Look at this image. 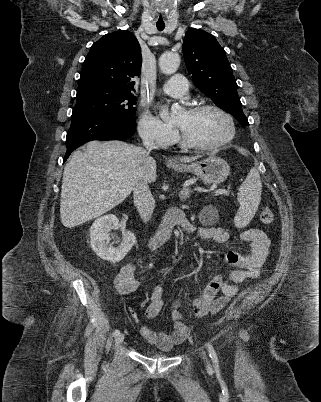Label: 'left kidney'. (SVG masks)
Instances as JSON below:
<instances>
[{
	"label": "left kidney",
	"instance_id": "left-kidney-1",
	"mask_svg": "<svg viewBox=\"0 0 321 402\" xmlns=\"http://www.w3.org/2000/svg\"><path fill=\"white\" fill-rule=\"evenodd\" d=\"M199 219L204 223H214L218 219V211L213 207H205L199 215Z\"/></svg>",
	"mask_w": 321,
	"mask_h": 402
}]
</instances>
